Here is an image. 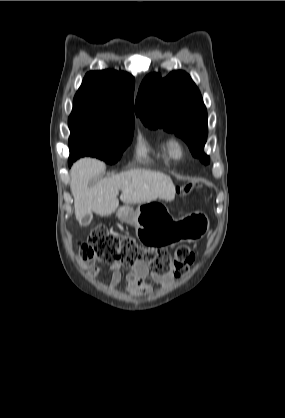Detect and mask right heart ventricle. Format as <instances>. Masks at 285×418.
Segmentation results:
<instances>
[{
	"instance_id": "1",
	"label": "right heart ventricle",
	"mask_w": 285,
	"mask_h": 418,
	"mask_svg": "<svg viewBox=\"0 0 285 418\" xmlns=\"http://www.w3.org/2000/svg\"><path fill=\"white\" fill-rule=\"evenodd\" d=\"M135 153L138 158L148 159L149 157L155 156H165L168 157V152L166 146L163 142L154 140L151 137L145 134H139L137 138V143L135 147Z\"/></svg>"
}]
</instances>
